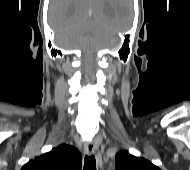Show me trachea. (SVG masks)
<instances>
[{"label":"trachea","instance_id":"1","mask_svg":"<svg viewBox=\"0 0 190 170\" xmlns=\"http://www.w3.org/2000/svg\"><path fill=\"white\" fill-rule=\"evenodd\" d=\"M83 170H96V159L94 155L85 156Z\"/></svg>","mask_w":190,"mask_h":170}]
</instances>
